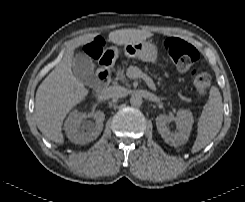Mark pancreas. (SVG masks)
Here are the masks:
<instances>
[{
  "label": "pancreas",
  "instance_id": "obj_1",
  "mask_svg": "<svg viewBox=\"0 0 245 202\" xmlns=\"http://www.w3.org/2000/svg\"><path fill=\"white\" fill-rule=\"evenodd\" d=\"M124 68L122 69H119L117 72H116V77H115V80L117 81H122V82H125L126 81V78H125V75H124Z\"/></svg>",
  "mask_w": 245,
  "mask_h": 202
}]
</instances>
